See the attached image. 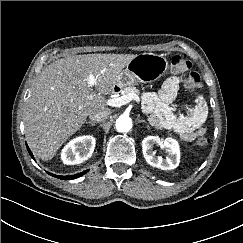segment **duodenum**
I'll return each instance as SVG.
<instances>
[{
	"label": "duodenum",
	"mask_w": 243,
	"mask_h": 243,
	"mask_svg": "<svg viewBox=\"0 0 243 243\" xmlns=\"http://www.w3.org/2000/svg\"><path fill=\"white\" fill-rule=\"evenodd\" d=\"M114 91H115V92H116V91H118V88H117V87H115Z\"/></svg>",
	"instance_id": "obj_1"
}]
</instances>
